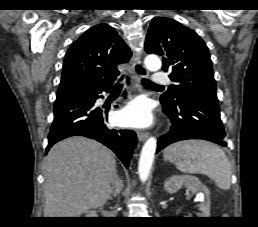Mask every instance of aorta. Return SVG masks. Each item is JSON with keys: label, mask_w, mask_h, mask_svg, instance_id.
<instances>
[{"label": "aorta", "mask_w": 258, "mask_h": 227, "mask_svg": "<svg viewBox=\"0 0 258 227\" xmlns=\"http://www.w3.org/2000/svg\"><path fill=\"white\" fill-rule=\"evenodd\" d=\"M144 64L150 71H158L162 66L161 60L156 55H148L144 60ZM156 147V139L154 137H150L142 148L138 164V173L141 181L143 182L148 179L150 174Z\"/></svg>", "instance_id": "762f6f07"}]
</instances>
